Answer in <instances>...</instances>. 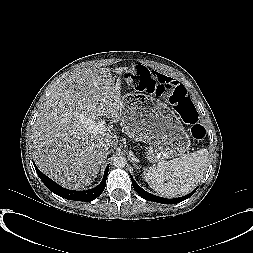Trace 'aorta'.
Listing matches in <instances>:
<instances>
[{"label":"aorta","mask_w":253,"mask_h":253,"mask_svg":"<svg viewBox=\"0 0 253 253\" xmlns=\"http://www.w3.org/2000/svg\"><path fill=\"white\" fill-rule=\"evenodd\" d=\"M127 164L126 158L122 157V156H116L113 159V165L116 168H124Z\"/></svg>","instance_id":"762f6f07"}]
</instances>
